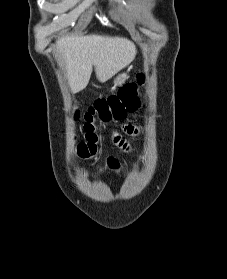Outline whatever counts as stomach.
Segmentation results:
<instances>
[{
    "mask_svg": "<svg viewBox=\"0 0 227 279\" xmlns=\"http://www.w3.org/2000/svg\"><path fill=\"white\" fill-rule=\"evenodd\" d=\"M129 78V70L118 74L113 79V88L120 87Z\"/></svg>",
    "mask_w": 227,
    "mask_h": 279,
    "instance_id": "1",
    "label": "stomach"
}]
</instances>
